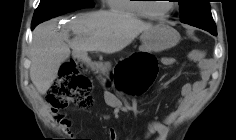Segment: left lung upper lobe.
<instances>
[{
    "mask_svg": "<svg viewBox=\"0 0 236 140\" xmlns=\"http://www.w3.org/2000/svg\"><path fill=\"white\" fill-rule=\"evenodd\" d=\"M181 22L210 32L217 36L209 0H178Z\"/></svg>",
    "mask_w": 236,
    "mask_h": 140,
    "instance_id": "left-lung-upper-lobe-1",
    "label": "left lung upper lobe"
}]
</instances>
